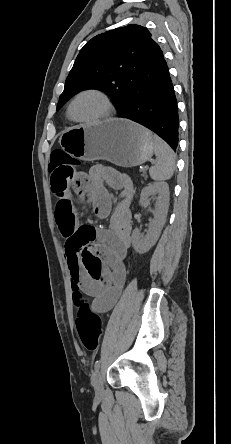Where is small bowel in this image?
Listing matches in <instances>:
<instances>
[{
    "mask_svg": "<svg viewBox=\"0 0 231 444\" xmlns=\"http://www.w3.org/2000/svg\"><path fill=\"white\" fill-rule=\"evenodd\" d=\"M51 185L58 196L56 224L65 240L64 253L72 285L92 298L94 313H105L117 302L126 281L125 257L132 229V183L114 169L97 165L66 185L57 186L52 181ZM107 186L120 191L121 195L108 228L95 229L94 235L81 237L74 195L90 202L98 218H106L111 213Z\"/></svg>",
    "mask_w": 231,
    "mask_h": 444,
    "instance_id": "1",
    "label": "small bowel"
}]
</instances>
